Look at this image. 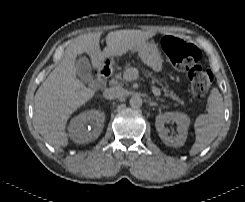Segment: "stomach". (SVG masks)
I'll list each match as a JSON object with an SVG mask.
<instances>
[{
    "instance_id": "stomach-1",
    "label": "stomach",
    "mask_w": 245,
    "mask_h": 202,
    "mask_svg": "<svg viewBox=\"0 0 245 202\" xmlns=\"http://www.w3.org/2000/svg\"><path fill=\"white\" fill-rule=\"evenodd\" d=\"M131 51L137 52L142 62L155 72L162 71L164 62L163 57L159 51L158 45L153 41H146Z\"/></svg>"
}]
</instances>
